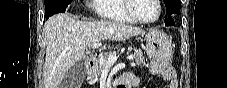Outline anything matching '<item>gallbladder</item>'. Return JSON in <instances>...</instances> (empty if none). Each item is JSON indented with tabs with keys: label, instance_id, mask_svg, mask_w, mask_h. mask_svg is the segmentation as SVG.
I'll return each instance as SVG.
<instances>
[{
	"label": "gallbladder",
	"instance_id": "1",
	"mask_svg": "<svg viewBox=\"0 0 227 88\" xmlns=\"http://www.w3.org/2000/svg\"><path fill=\"white\" fill-rule=\"evenodd\" d=\"M86 60L81 59L65 74L60 87L61 88H75L79 86L85 77Z\"/></svg>",
	"mask_w": 227,
	"mask_h": 88
}]
</instances>
